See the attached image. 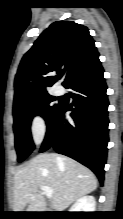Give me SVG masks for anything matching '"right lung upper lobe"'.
I'll use <instances>...</instances> for the list:
<instances>
[{"mask_svg":"<svg viewBox=\"0 0 123 219\" xmlns=\"http://www.w3.org/2000/svg\"><path fill=\"white\" fill-rule=\"evenodd\" d=\"M99 53L87 27L73 21H56L23 56L15 77L14 105L46 93L64 75L63 85Z\"/></svg>","mask_w":123,"mask_h":219,"instance_id":"cb5924a9","label":"right lung upper lobe"}]
</instances>
